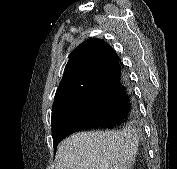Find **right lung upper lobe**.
I'll return each instance as SVG.
<instances>
[{"instance_id": "obj_1", "label": "right lung upper lobe", "mask_w": 177, "mask_h": 169, "mask_svg": "<svg viewBox=\"0 0 177 169\" xmlns=\"http://www.w3.org/2000/svg\"><path fill=\"white\" fill-rule=\"evenodd\" d=\"M117 54L101 39H88L70 55L63 78L55 94L54 104L87 83L89 79Z\"/></svg>"}]
</instances>
